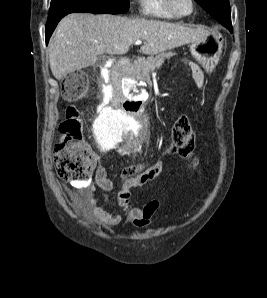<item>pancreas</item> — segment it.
Segmentation results:
<instances>
[{
  "label": "pancreas",
  "mask_w": 267,
  "mask_h": 298,
  "mask_svg": "<svg viewBox=\"0 0 267 298\" xmlns=\"http://www.w3.org/2000/svg\"><path fill=\"white\" fill-rule=\"evenodd\" d=\"M174 54L169 53H159L156 57H148L147 59L136 60L129 70L130 78L141 80L149 77V73L156 68L161 67L164 60L173 56Z\"/></svg>",
  "instance_id": "1"
}]
</instances>
